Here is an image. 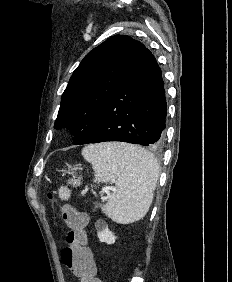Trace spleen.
Wrapping results in <instances>:
<instances>
[{
	"instance_id": "spleen-1",
	"label": "spleen",
	"mask_w": 232,
	"mask_h": 282,
	"mask_svg": "<svg viewBox=\"0 0 232 282\" xmlns=\"http://www.w3.org/2000/svg\"><path fill=\"white\" fill-rule=\"evenodd\" d=\"M82 156L92 164L96 182H115L113 194L102 207L103 212L118 223L142 219L149 210L159 177V165L153 154L144 148L123 144L88 145ZM69 184L80 185L71 179ZM61 200H68L71 191L61 186Z\"/></svg>"
}]
</instances>
